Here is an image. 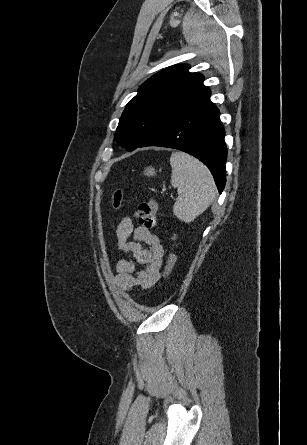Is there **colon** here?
<instances>
[{"label":"colon","instance_id":"colon-1","mask_svg":"<svg viewBox=\"0 0 307 445\" xmlns=\"http://www.w3.org/2000/svg\"><path fill=\"white\" fill-rule=\"evenodd\" d=\"M122 198H123V192L121 190H117L114 193L112 200V207L114 210H117L120 207ZM138 209L141 214L139 219L140 227L147 229L155 227L156 226L155 216L158 210L157 201L154 198H150V200L147 203L140 204ZM168 237L171 240L172 245L174 246L177 241V236L175 234H169ZM175 263H176V254L172 247L167 255L166 265L163 272V276L165 279L170 277L175 267Z\"/></svg>","mask_w":307,"mask_h":445}]
</instances>
